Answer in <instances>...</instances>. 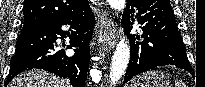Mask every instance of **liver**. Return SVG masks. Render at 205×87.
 I'll return each mask as SVG.
<instances>
[{
  "instance_id": "obj_1",
  "label": "liver",
  "mask_w": 205,
  "mask_h": 87,
  "mask_svg": "<svg viewBox=\"0 0 205 87\" xmlns=\"http://www.w3.org/2000/svg\"><path fill=\"white\" fill-rule=\"evenodd\" d=\"M9 87H70V84L54 74L32 70L16 76Z\"/></svg>"
}]
</instances>
